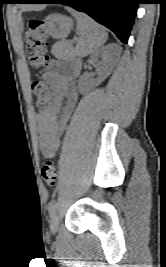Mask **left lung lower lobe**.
Here are the masks:
<instances>
[{
	"label": "left lung lower lobe",
	"instance_id": "obj_1",
	"mask_svg": "<svg viewBox=\"0 0 166 267\" xmlns=\"http://www.w3.org/2000/svg\"><path fill=\"white\" fill-rule=\"evenodd\" d=\"M23 3H63L82 11L127 43L139 0H26Z\"/></svg>",
	"mask_w": 166,
	"mask_h": 267
}]
</instances>
